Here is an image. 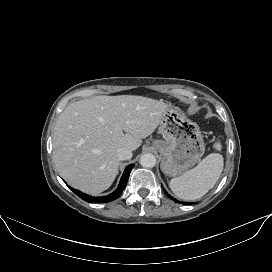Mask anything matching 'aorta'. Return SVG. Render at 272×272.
<instances>
[{"instance_id": "762f6f07", "label": "aorta", "mask_w": 272, "mask_h": 272, "mask_svg": "<svg viewBox=\"0 0 272 272\" xmlns=\"http://www.w3.org/2000/svg\"><path fill=\"white\" fill-rule=\"evenodd\" d=\"M140 164L145 168H152L156 165V157L151 153L143 154L140 158Z\"/></svg>"}]
</instances>
